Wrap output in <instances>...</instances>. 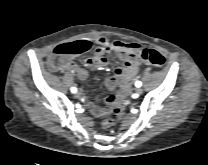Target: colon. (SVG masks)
<instances>
[{
    "mask_svg": "<svg viewBox=\"0 0 208 165\" xmlns=\"http://www.w3.org/2000/svg\"><path fill=\"white\" fill-rule=\"evenodd\" d=\"M90 48V43L83 40L60 44L53 50L52 54L50 55L48 59V66L50 70L56 71L60 68V65L63 62H65L68 59H71L72 57L81 55L89 51ZM139 56L141 60L156 67H163L166 63L165 57L155 49L143 48L140 50ZM127 91L128 89H122L117 94L118 102L115 104L113 110L117 118H120L123 115L125 108L123 93ZM113 124V120L107 119L102 123V127L104 129H107L110 128Z\"/></svg>",
    "mask_w": 208,
    "mask_h": 165,
    "instance_id": "1",
    "label": "colon"
}]
</instances>
